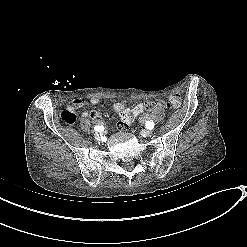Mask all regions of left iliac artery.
Wrapping results in <instances>:
<instances>
[{
    "instance_id": "1",
    "label": "left iliac artery",
    "mask_w": 247,
    "mask_h": 247,
    "mask_svg": "<svg viewBox=\"0 0 247 247\" xmlns=\"http://www.w3.org/2000/svg\"><path fill=\"white\" fill-rule=\"evenodd\" d=\"M154 125L155 124H154V122L152 120L147 121L146 124H145V126H146L147 129H153L154 128Z\"/></svg>"
}]
</instances>
